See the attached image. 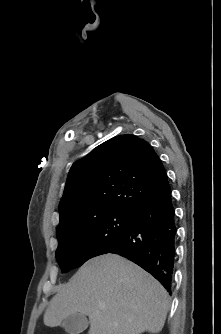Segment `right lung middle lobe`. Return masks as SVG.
Masks as SVG:
<instances>
[{
  "mask_svg": "<svg viewBox=\"0 0 221 334\" xmlns=\"http://www.w3.org/2000/svg\"><path fill=\"white\" fill-rule=\"evenodd\" d=\"M131 213L110 212L73 225L58 238L55 256L62 268H75L116 246L127 229Z\"/></svg>",
  "mask_w": 221,
  "mask_h": 334,
  "instance_id": "right-lung-middle-lobe-1",
  "label": "right lung middle lobe"
}]
</instances>
